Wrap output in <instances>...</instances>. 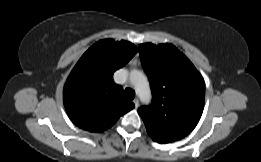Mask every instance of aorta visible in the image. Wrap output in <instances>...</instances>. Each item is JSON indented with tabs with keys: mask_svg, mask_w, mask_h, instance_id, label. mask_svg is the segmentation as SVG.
Returning <instances> with one entry per match:
<instances>
[{
	"mask_svg": "<svg viewBox=\"0 0 261 162\" xmlns=\"http://www.w3.org/2000/svg\"><path fill=\"white\" fill-rule=\"evenodd\" d=\"M130 81L135 86L140 99L148 102L151 99V92L144 74L139 70H133L130 73Z\"/></svg>",
	"mask_w": 261,
	"mask_h": 162,
	"instance_id": "1",
	"label": "aorta"
}]
</instances>
